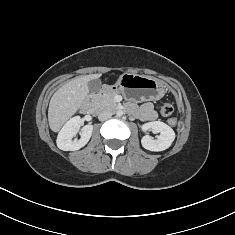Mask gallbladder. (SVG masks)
I'll list each match as a JSON object with an SVG mask.
<instances>
[{
    "label": "gallbladder",
    "mask_w": 235,
    "mask_h": 235,
    "mask_svg": "<svg viewBox=\"0 0 235 235\" xmlns=\"http://www.w3.org/2000/svg\"><path fill=\"white\" fill-rule=\"evenodd\" d=\"M88 88L91 93H95L101 88V81L99 79H93L88 82Z\"/></svg>",
    "instance_id": "bac80fb5"
}]
</instances>
